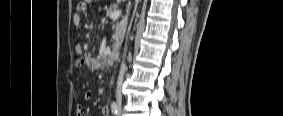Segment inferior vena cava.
I'll use <instances>...</instances> for the list:
<instances>
[{
  "label": "inferior vena cava",
  "instance_id": "obj_1",
  "mask_svg": "<svg viewBox=\"0 0 283 116\" xmlns=\"http://www.w3.org/2000/svg\"><path fill=\"white\" fill-rule=\"evenodd\" d=\"M138 2L139 1L136 0L135 8L137 7ZM125 54H126V47L124 49L123 57H125ZM125 69H126V66H125V63L123 61L122 64H121V68H120V72H119V76H118V81H117V89H116V100H117V103H121V101H122L121 86H122V83H123Z\"/></svg>",
  "mask_w": 283,
  "mask_h": 116
}]
</instances>
